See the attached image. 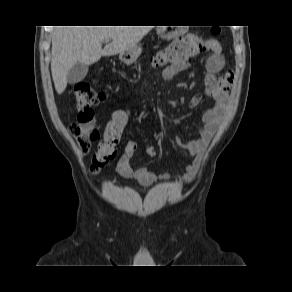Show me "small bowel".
<instances>
[{"instance_id": "small-bowel-1", "label": "small bowel", "mask_w": 292, "mask_h": 292, "mask_svg": "<svg viewBox=\"0 0 292 292\" xmlns=\"http://www.w3.org/2000/svg\"><path fill=\"white\" fill-rule=\"evenodd\" d=\"M207 43L212 50V54L206 61L207 76L205 92L203 95L199 94L193 96L190 100V107H198L204 97L214 99L215 103L212 108L204 113V124L199 130L198 137L187 141L177 140V143L183 147L188 155L197 157L195 163L188 167V174L184 178L185 182H190L192 180L194 171L200 163L201 154L210 143L222 122L227 107L229 88L233 80L232 72H227L222 77L216 76L224 66L222 48L217 41L212 40ZM188 67L189 63L186 61L174 63L165 68L163 78L164 80H171ZM136 148L137 144L134 141L128 142L124 154L118 160L116 171L121 177L133 179L143 186H149L158 180H168L170 178L167 174L151 172L143 166L133 167L130 159Z\"/></svg>"}]
</instances>
